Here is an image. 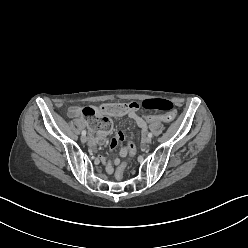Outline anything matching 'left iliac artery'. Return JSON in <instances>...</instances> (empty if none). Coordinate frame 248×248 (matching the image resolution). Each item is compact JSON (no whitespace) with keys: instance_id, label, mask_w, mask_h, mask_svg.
Wrapping results in <instances>:
<instances>
[{"instance_id":"obj_1","label":"left iliac artery","mask_w":248,"mask_h":248,"mask_svg":"<svg viewBox=\"0 0 248 248\" xmlns=\"http://www.w3.org/2000/svg\"><path fill=\"white\" fill-rule=\"evenodd\" d=\"M148 137H150V138H151V137H152V133H150V132H149V133H148Z\"/></svg>"}]
</instances>
